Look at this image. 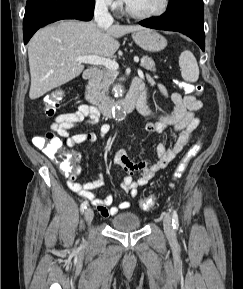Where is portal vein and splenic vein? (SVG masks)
<instances>
[{"mask_svg": "<svg viewBox=\"0 0 243 289\" xmlns=\"http://www.w3.org/2000/svg\"><path fill=\"white\" fill-rule=\"evenodd\" d=\"M74 60L80 63H86L90 65H103L111 70H117L119 68V64L115 60L96 55L78 56ZM134 61L138 63L139 58L135 57Z\"/></svg>", "mask_w": 243, "mask_h": 289, "instance_id": "1", "label": "portal vein and splenic vein"}]
</instances>
